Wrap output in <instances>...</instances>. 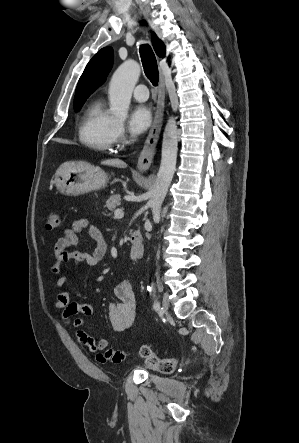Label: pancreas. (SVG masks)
Listing matches in <instances>:
<instances>
[{
	"instance_id": "cf45deb5",
	"label": "pancreas",
	"mask_w": 299,
	"mask_h": 443,
	"mask_svg": "<svg viewBox=\"0 0 299 443\" xmlns=\"http://www.w3.org/2000/svg\"><path fill=\"white\" fill-rule=\"evenodd\" d=\"M121 204V196L119 194L112 195L105 204V208L113 212L117 206Z\"/></svg>"
}]
</instances>
